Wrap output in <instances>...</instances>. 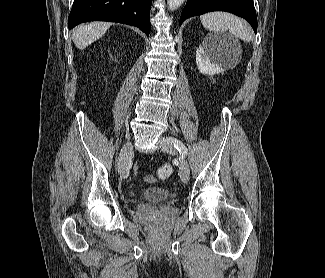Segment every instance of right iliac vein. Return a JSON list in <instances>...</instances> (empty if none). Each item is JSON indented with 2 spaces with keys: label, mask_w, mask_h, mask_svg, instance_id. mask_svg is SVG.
<instances>
[{
  "label": "right iliac vein",
  "mask_w": 325,
  "mask_h": 278,
  "mask_svg": "<svg viewBox=\"0 0 325 278\" xmlns=\"http://www.w3.org/2000/svg\"><path fill=\"white\" fill-rule=\"evenodd\" d=\"M133 153V147H132V143L131 142H127L121 152H120V163H119V174L121 176H124L126 174L127 168H128V163L129 160L132 156Z\"/></svg>",
  "instance_id": "63e3f726"
}]
</instances>
